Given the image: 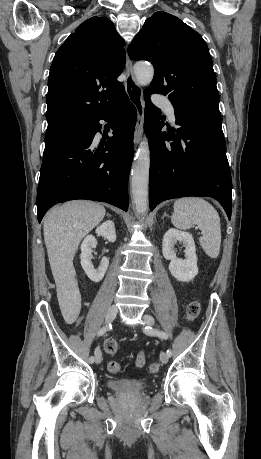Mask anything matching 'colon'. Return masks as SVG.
<instances>
[{
    "label": "colon",
    "mask_w": 261,
    "mask_h": 459,
    "mask_svg": "<svg viewBox=\"0 0 261 459\" xmlns=\"http://www.w3.org/2000/svg\"><path fill=\"white\" fill-rule=\"evenodd\" d=\"M201 304L198 301H191L186 306V316L189 321H194L200 314ZM104 350L107 354L113 355L118 350V344L116 340L109 338L104 342ZM106 368L111 373H118L121 370V366L116 361H109ZM160 370L159 363H151L149 365V371L151 373H157Z\"/></svg>",
    "instance_id": "colon-1"
}]
</instances>
